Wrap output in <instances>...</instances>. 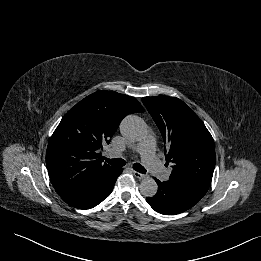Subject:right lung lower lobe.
Returning a JSON list of instances; mask_svg holds the SVG:
<instances>
[{
	"label": "right lung lower lobe",
	"instance_id": "1",
	"mask_svg": "<svg viewBox=\"0 0 261 261\" xmlns=\"http://www.w3.org/2000/svg\"><path fill=\"white\" fill-rule=\"evenodd\" d=\"M122 171V168H114L95 182L60 197L75 208L84 210L93 208L110 195Z\"/></svg>",
	"mask_w": 261,
	"mask_h": 261
}]
</instances>
